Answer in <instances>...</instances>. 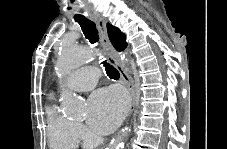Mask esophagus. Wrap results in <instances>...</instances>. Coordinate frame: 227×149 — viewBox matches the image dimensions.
Segmentation results:
<instances>
[{"mask_svg": "<svg viewBox=\"0 0 227 149\" xmlns=\"http://www.w3.org/2000/svg\"><path fill=\"white\" fill-rule=\"evenodd\" d=\"M95 21H96L97 27L99 29V33H100V37H101V45L105 49L110 62L115 66V68L120 73L122 82L127 87L128 91L130 93L131 104H130V107H129V110H128V117H129V116H131V114L134 111L135 100H136V93H135V88H134L133 81H132L130 75L128 74V72L123 67V65L121 63H119V61L116 58V55H115L114 50H113V47H112V45L110 43V40L108 38V35H107V29H106L105 20L103 18H101V17L100 18L96 17Z\"/></svg>", "mask_w": 227, "mask_h": 149, "instance_id": "obj_1", "label": "esophagus"}]
</instances>
